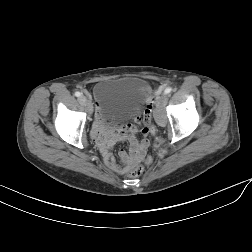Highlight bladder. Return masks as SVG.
Returning a JSON list of instances; mask_svg holds the SVG:
<instances>
[{"instance_id": "obj_1", "label": "bladder", "mask_w": 252, "mask_h": 252, "mask_svg": "<svg viewBox=\"0 0 252 252\" xmlns=\"http://www.w3.org/2000/svg\"><path fill=\"white\" fill-rule=\"evenodd\" d=\"M98 112L106 122L133 114L146 98L144 83L137 78L101 81L95 89Z\"/></svg>"}]
</instances>
